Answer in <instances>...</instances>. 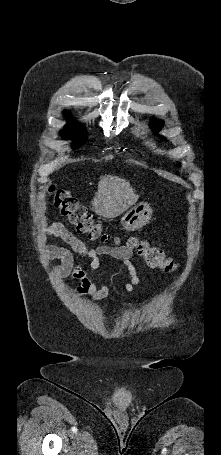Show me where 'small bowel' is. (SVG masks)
<instances>
[{
  "label": "small bowel",
  "mask_w": 221,
  "mask_h": 455,
  "mask_svg": "<svg viewBox=\"0 0 221 455\" xmlns=\"http://www.w3.org/2000/svg\"><path fill=\"white\" fill-rule=\"evenodd\" d=\"M45 235L54 236L68 247L49 245L45 247L44 254L48 258L56 259L59 264L55 267V273L60 277H73L79 281L75 288L78 295H88L94 300H101L109 293L106 284L97 285L93 272L100 266V258L109 256L122 262L129 273V280L125 283L127 292H135L140 284V276L131 263L133 251L123 246L118 248L108 246L91 247L84 240L71 233L64 225L60 223L47 227ZM78 255L86 261L87 268L75 261Z\"/></svg>",
  "instance_id": "1"
}]
</instances>
